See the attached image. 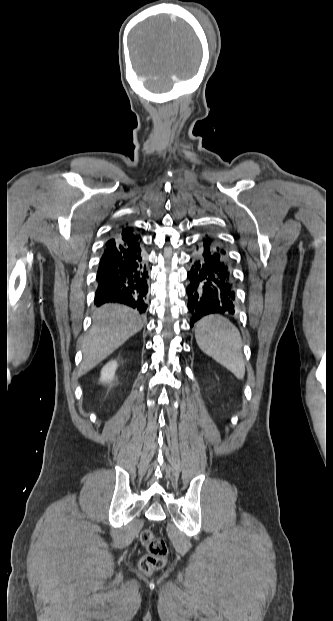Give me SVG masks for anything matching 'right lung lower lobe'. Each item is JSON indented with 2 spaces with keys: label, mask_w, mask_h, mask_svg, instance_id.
I'll list each match as a JSON object with an SVG mask.
<instances>
[{
  "label": "right lung lower lobe",
  "mask_w": 333,
  "mask_h": 621,
  "mask_svg": "<svg viewBox=\"0 0 333 621\" xmlns=\"http://www.w3.org/2000/svg\"><path fill=\"white\" fill-rule=\"evenodd\" d=\"M97 306L120 303L144 313L147 309L148 268L142 246L109 239L97 272Z\"/></svg>",
  "instance_id": "right-lung-lower-lobe-1"
}]
</instances>
